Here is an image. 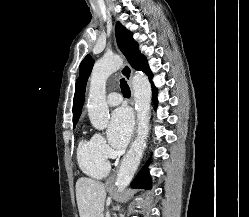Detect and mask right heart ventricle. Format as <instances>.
Returning <instances> with one entry per match:
<instances>
[{
    "label": "right heart ventricle",
    "mask_w": 249,
    "mask_h": 217,
    "mask_svg": "<svg viewBox=\"0 0 249 217\" xmlns=\"http://www.w3.org/2000/svg\"><path fill=\"white\" fill-rule=\"evenodd\" d=\"M77 161L80 169L92 178H103L109 172L107 159L97 150L93 137L80 140L77 147Z\"/></svg>",
    "instance_id": "obj_1"
}]
</instances>
